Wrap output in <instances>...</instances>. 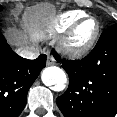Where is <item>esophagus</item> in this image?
<instances>
[{
	"label": "esophagus",
	"mask_w": 117,
	"mask_h": 117,
	"mask_svg": "<svg viewBox=\"0 0 117 117\" xmlns=\"http://www.w3.org/2000/svg\"><path fill=\"white\" fill-rule=\"evenodd\" d=\"M55 64V59L51 55H47V65H54Z\"/></svg>",
	"instance_id": "34e87169"
}]
</instances>
